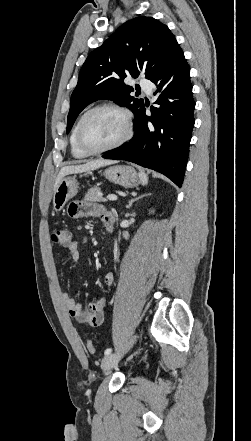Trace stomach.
<instances>
[{
    "label": "stomach",
    "instance_id": "0dacf381",
    "mask_svg": "<svg viewBox=\"0 0 251 441\" xmlns=\"http://www.w3.org/2000/svg\"><path fill=\"white\" fill-rule=\"evenodd\" d=\"M104 176L114 184L125 188H134L140 184V177L131 166L116 165L107 168ZM78 181L75 176L62 178L53 194V209L58 212L62 210L65 204L73 198L78 192Z\"/></svg>",
    "mask_w": 251,
    "mask_h": 441
}]
</instances>
